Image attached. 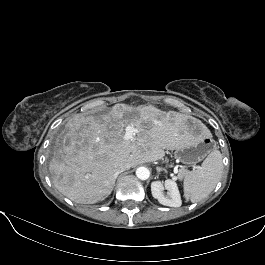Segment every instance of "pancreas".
I'll return each mask as SVG.
<instances>
[{"mask_svg":"<svg viewBox=\"0 0 265 265\" xmlns=\"http://www.w3.org/2000/svg\"><path fill=\"white\" fill-rule=\"evenodd\" d=\"M185 172H186L185 169H181V170L179 171L178 177L181 178V177L184 175Z\"/></svg>","mask_w":265,"mask_h":265,"instance_id":"pancreas-1","label":"pancreas"}]
</instances>
